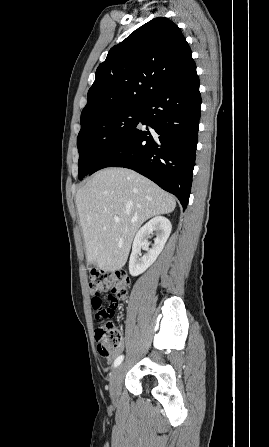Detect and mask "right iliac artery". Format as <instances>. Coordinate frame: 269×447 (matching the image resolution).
<instances>
[{
  "label": "right iliac artery",
  "instance_id": "obj_1",
  "mask_svg": "<svg viewBox=\"0 0 269 447\" xmlns=\"http://www.w3.org/2000/svg\"><path fill=\"white\" fill-rule=\"evenodd\" d=\"M123 359H124L123 355L119 356L114 362V367L119 366L121 364V362L123 361Z\"/></svg>",
  "mask_w": 269,
  "mask_h": 447
}]
</instances>
